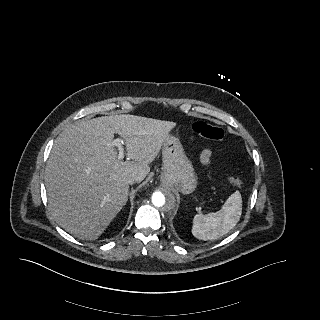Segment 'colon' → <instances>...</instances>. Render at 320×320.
Here are the masks:
<instances>
[{"instance_id": "colon-1", "label": "colon", "mask_w": 320, "mask_h": 320, "mask_svg": "<svg viewBox=\"0 0 320 320\" xmlns=\"http://www.w3.org/2000/svg\"><path fill=\"white\" fill-rule=\"evenodd\" d=\"M192 129L197 135L212 141H220L224 137V132L219 126L206 121L200 120L194 122L192 124ZM228 180L234 186H240L242 183L241 179L235 176H230Z\"/></svg>"}]
</instances>
